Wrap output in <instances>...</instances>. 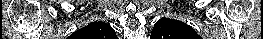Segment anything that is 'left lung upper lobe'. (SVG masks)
Segmentation results:
<instances>
[{
	"label": "left lung upper lobe",
	"mask_w": 263,
	"mask_h": 39,
	"mask_svg": "<svg viewBox=\"0 0 263 39\" xmlns=\"http://www.w3.org/2000/svg\"><path fill=\"white\" fill-rule=\"evenodd\" d=\"M150 39H202L182 21L161 18L155 24Z\"/></svg>",
	"instance_id": "5c2ea615"
}]
</instances>
